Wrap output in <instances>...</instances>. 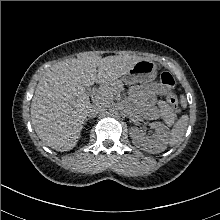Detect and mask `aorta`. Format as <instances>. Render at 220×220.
<instances>
[{
    "mask_svg": "<svg viewBox=\"0 0 220 220\" xmlns=\"http://www.w3.org/2000/svg\"><path fill=\"white\" fill-rule=\"evenodd\" d=\"M110 114L111 115H117L118 114V109L117 108H112L111 110H110Z\"/></svg>",
    "mask_w": 220,
    "mask_h": 220,
    "instance_id": "obj_1",
    "label": "aorta"
}]
</instances>
